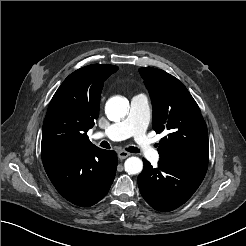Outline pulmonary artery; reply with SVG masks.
<instances>
[{"label":"pulmonary artery","mask_w":246,"mask_h":246,"mask_svg":"<svg viewBox=\"0 0 246 246\" xmlns=\"http://www.w3.org/2000/svg\"><path fill=\"white\" fill-rule=\"evenodd\" d=\"M151 119V108L145 94H137L131 99L130 110L125 119L110 125L105 131L98 132L95 138L120 141L133 137L143 155L152 162L159 160V154L146 135Z\"/></svg>","instance_id":"1"}]
</instances>
